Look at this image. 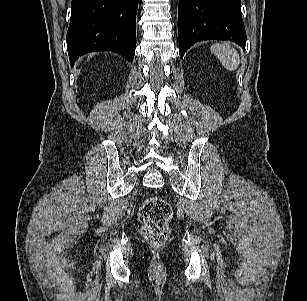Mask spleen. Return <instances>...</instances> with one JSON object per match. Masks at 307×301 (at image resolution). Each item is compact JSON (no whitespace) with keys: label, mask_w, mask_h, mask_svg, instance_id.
Listing matches in <instances>:
<instances>
[{"label":"spleen","mask_w":307,"mask_h":301,"mask_svg":"<svg viewBox=\"0 0 307 301\" xmlns=\"http://www.w3.org/2000/svg\"><path fill=\"white\" fill-rule=\"evenodd\" d=\"M210 50L227 70H236L240 63L239 54L228 43H215Z\"/></svg>","instance_id":"obj_1"}]
</instances>
